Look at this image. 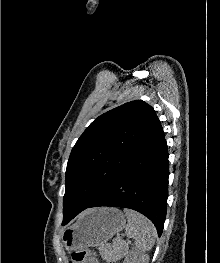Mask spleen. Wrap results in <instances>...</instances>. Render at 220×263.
<instances>
[{
    "label": "spleen",
    "mask_w": 220,
    "mask_h": 263,
    "mask_svg": "<svg viewBox=\"0 0 220 263\" xmlns=\"http://www.w3.org/2000/svg\"><path fill=\"white\" fill-rule=\"evenodd\" d=\"M124 213L128 219L126 236L134 240L136 251L139 254L149 251L155 243V226L145 216L134 210L124 209Z\"/></svg>",
    "instance_id": "spleen-1"
}]
</instances>
